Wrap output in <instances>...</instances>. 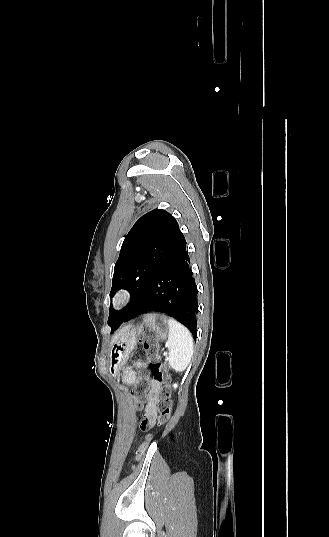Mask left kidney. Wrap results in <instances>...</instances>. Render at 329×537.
Masks as SVG:
<instances>
[{
  "mask_svg": "<svg viewBox=\"0 0 329 537\" xmlns=\"http://www.w3.org/2000/svg\"><path fill=\"white\" fill-rule=\"evenodd\" d=\"M173 387H174V388H177V384H174Z\"/></svg>",
  "mask_w": 329,
  "mask_h": 537,
  "instance_id": "obj_1",
  "label": "left kidney"
}]
</instances>
